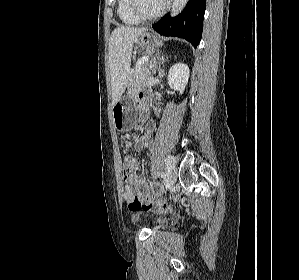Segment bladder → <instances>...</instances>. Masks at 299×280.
Here are the masks:
<instances>
[{
	"mask_svg": "<svg viewBox=\"0 0 299 280\" xmlns=\"http://www.w3.org/2000/svg\"><path fill=\"white\" fill-rule=\"evenodd\" d=\"M139 220H140V218H139L138 215H135V216L133 217V222H134V223H137Z\"/></svg>",
	"mask_w": 299,
	"mask_h": 280,
	"instance_id": "31cf9c89",
	"label": "bladder"
}]
</instances>
